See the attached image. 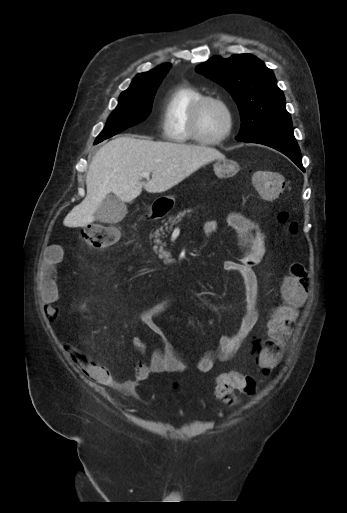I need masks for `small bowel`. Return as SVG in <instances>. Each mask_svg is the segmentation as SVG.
I'll return each mask as SVG.
<instances>
[{"instance_id": "obj_1", "label": "small bowel", "mask_w": 347, "mask_h": 513, "mask_svg": "<svg viewBox=\"0 0 347 513\" xmlns=\"http://www.w3.org/2000/svg\"><path fill=\"white\" fill-rule=\"evenodd\" d=\"M226 221L235 235L246 245L243 261H226L223 264L224 270L235 273L241 280L245 294V311L234 332L221 336L216 349L207 350L200 355L196 362V368L202 373L210 372L216 362L231 360L243 349L249 351L253 346L249 343L250 334L259 319L257 309L258 280L255 267L260 264L265 254L266 240L264 233L255 220L238 212L229 213ZM202 228L205 234L210 236L217 232L218 223L215 220H207ZM60 259V249L58 247L52 248L43 259L37 275V289L46 305L45 313L50 319L56 318L59 314V309L56 306L60 299L56 284V267ZM172 305L171 300H163L146 309L140 315V320L161 338L162 347L152 351L148 364L142 361L134 362V376L132 379L122 382L123 387L135 388L151 372L177 373L187 370V364L179 357L177 351L168 341L165 331L157 322V318L165 314ZM87 307V302L84 300L79 301L76 305V308L80 311H85ZM132 344L139 354L146 352V344L141 337H134ZM75 358L80 369L91 379L100 384L109 382L110 377L105 373L101 363L92 362L80 355Z\"/></svg>"}]
</instances>
